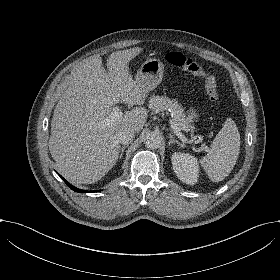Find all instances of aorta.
<instances>
[{"mask_svg":"<svg viewBox=\"0 0 280 280\" xmlns=\"http://www.w3.org/2000/svg\"><path fill=\"white\" fill-rule=\"evenodd\" d=\"M145 146L149 149H157L162 144L161 137L156 133H146L144 136Z\"/></svg>","mask_w":280,"mask_h":280,"instance_id":"aorta-1","label":"aorta"}]
</instances>
